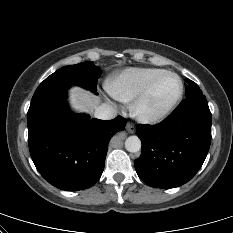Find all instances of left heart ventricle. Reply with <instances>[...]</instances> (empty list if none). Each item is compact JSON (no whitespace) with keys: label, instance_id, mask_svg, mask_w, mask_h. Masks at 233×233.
Here are the masks:
<instances>
[{"label":"left heart ventricle","instance_id":"b2bd125f","mask_svg":"<svg viewBox=\"0 0 233 233\" xmlns=\"http://www.w3.org/2000/svg\"><path fill=\"white\" fill-rule=\"evenodd\" d=\"M178 93V82L173 76L162 77L146 100L143 110L153 114L162 110Z\"/></svg>","mask_w":233,"mask_h":233}]
</instances>
